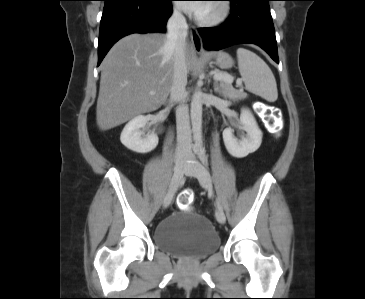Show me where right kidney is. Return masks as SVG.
<instances>
[{"label":"right kidney","instance_id":"ca27d5eb","mask_svg":"<svg viewBox=\"0 0 365 299\" xmlns=\"http://www.w3.org/2000/svg\"><path fill=\"white\" fill-rule=\"evenodd\" d=\"M151 120L150 116L138 115L124 127L120 141L128 149L137 153H148L156 148L158 136L155 133L144 135L141 128Z\"/></svg>","mask_w":365,"mask_h":299}]
</instances>
